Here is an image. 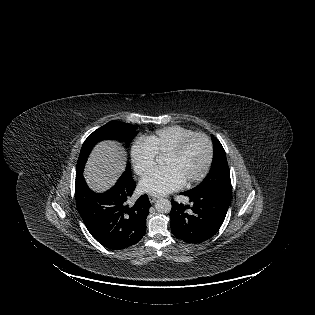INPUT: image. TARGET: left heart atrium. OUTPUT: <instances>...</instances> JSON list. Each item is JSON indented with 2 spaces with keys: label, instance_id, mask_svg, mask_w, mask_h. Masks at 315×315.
Returning a JSON list of instances; mask_svg holds the SVG:
<instances>
[{
  "label": "left heart atrium",
  "instance_id": "39dd6f15",
  "mask_svg": "<svg viewBox=\"0 0 315 315\" xmlns=\"http://www.w3.org/2000/svg\"><path fill=\"white\" fill-rule=\"evenodd\" d=\"M185 179L172 167L163 166L154 169L140 182L142 191L154 195H165L177 190Z\"/></svg>",
  "mask_w": 315,
  "mask_h": 315
}]
</instances>
